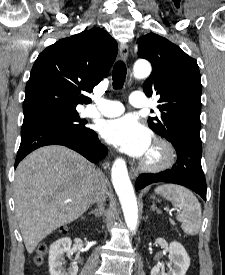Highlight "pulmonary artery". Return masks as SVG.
<instances>
[{
  "mask_svg": "<svg viewBox=\"0 0 225 275\" xmlns=\"http://www.w3.org/2000/svg\"><path fill=\"white\" fill-rule=\"evenodd\" d=\"M133 107L143 108L148 106L146 96L143 92H134L129 98ZM125 108L122 103L113 100H100L98 105L85 108L84 113L87 116L114 117L122 114Z\"/></svg>",
  "mask_w": 225,
  "mask_h": 275,
  "instance_id": "pulmonary-artery-1",
  "label": "pulmonary artery"
}]
</instances>
